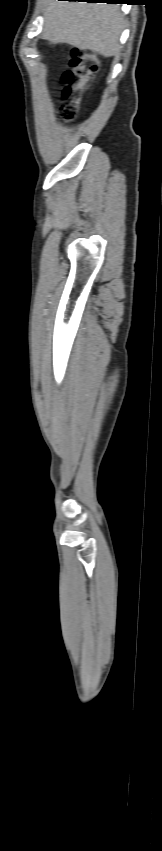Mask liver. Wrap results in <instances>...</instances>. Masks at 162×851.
<instances>
[{
	"label": "liver",
	"instance_id": "1",
	"mask_svg": "<svg viewBox=\"0 0 162 851\" xmlns=\"http://www.w3.org/2000/svg\"><path fill=\"white\" fill-rule=\"evenodd\" d=\"M45 3V40L91 50L104 57L119 53L123 15L118 5L58 0Z\"/></svg>",
	"mask_w": 162,
	"mask_h": 851
}]
</instances>
